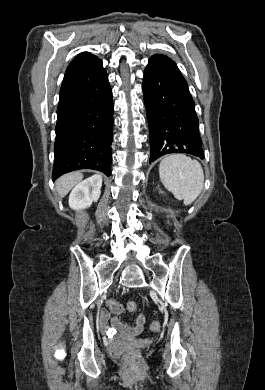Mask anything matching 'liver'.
Returning a JSON list of instances; mask_svg holds the SVG:
<instances>
[{"mask_svg":"<svg viewBox=\"0 0 265 390\" xmlns=\"http://www.w3.org/2000/svg\"><path fill=\"white\" fill-rule=\"evenodd\" d=\"M83 179V174L73 172L60 177L56 181V189L60 197H64L75 185Z\"/></svg>","mask_w":265,"mask_h":390,"instance_id":"1","label":"liver"}]
</instances>
